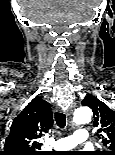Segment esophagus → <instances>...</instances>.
<instances>
[{
	"instance_id": "1",
	"label": "esophagus",
	"mask_w": 115,
	"mask_h": 155,
	"mask_svg": "<svg viewBox=\"0 0 115 155\" xmlns=\"http://www.w3.org/2000/svg\"><path fill=\"white\" fill-rule=\"evenodd\" d=\"M73 110H74V108L73 107H70L69 110L67 111V116H68L69 119H72Z\"/></svg>"
}]
</instances>
